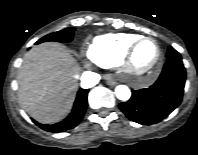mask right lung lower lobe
I'll list each match as a JSON object with an SVG mask.
<instances>
[{"instance_id": "1", "label": "right lung lower lobe", "mask_w": 198, "mask_h": 155, "mask_svg": "<svg viewBox=\"0 0 198 155\" xmlns=\"http://www.w3.org/2000/svg\"><path fill=\"white\" fill-rule=\"evenodd\" d=\"M87 95L88 90L81 89L77 93V97L73 106V110L70 113V115L65 118L63 121L53 124V125H44L37 123L34 121L40 128H42L45 131L49 132H64L69 129H73L75 126L79 124V122L82 120L86 108H87Z\"/></svg>"}]
</instances>
